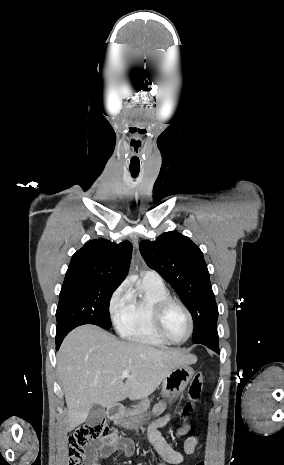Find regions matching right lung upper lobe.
I'll return each instance as SVG.
<instances>
[{
    "mask_svg": "<svg viewBox=\"0 0 284 465\" xmlns=\"http://www.w3.org/2000/svg\"><path fill=\"white\" fill-rule=\"evenodd\" d=\"M131 254L129 241L91 240L72 256L65 279L95 280L118 287L127 275Z\"/></svg>",
    "mask_w": 284,
    "mask_h": 465,
    "instance_id": "right-lung-upper-lobe-1",
    "label": "right lung upper lobe"
}]
</instances>
